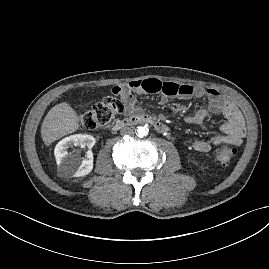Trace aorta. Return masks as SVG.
Segmentation results:
<instances>
[{
    "mask_svg": "<svg viewBox=\"0 0 269 269\" xmlns=\"http://www.w3.org/2000/svg\"><path fill=\"white\" fill-rule=\"evenodd\" d=\"M148 132L149 129L146 126H139L137 128V135L141 138L147 136Z\"/></svg>",
    "mask_w": 269,
    "mask_h": 269,
    "instance_id": "762f6f07",
    "label": "aorta"
}]
</instances>
